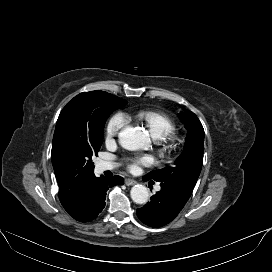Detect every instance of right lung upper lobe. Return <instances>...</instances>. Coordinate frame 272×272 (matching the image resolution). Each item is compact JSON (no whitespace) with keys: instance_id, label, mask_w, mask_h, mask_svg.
Wrapping results in <instances>:
<instances>
[{"instance_id":"1","label":"right lung upper lobe","mask_w":272,"mask_h":272,"mask_svg":"<svg viewBox=\"0 0 272 272\" xmlns=\"http://www.w3.org/2000/svg\"><path fill=\"white\" fill-rule=\"evenodd\" d=\"M78 96L74 97L70 102H73ZM51 158L59 185L60 202L64 209L69 211L78 203L91 177L94 175V171L77 172L68 158L58 149L54 140Z\"/></svg>"}]
</instances>
